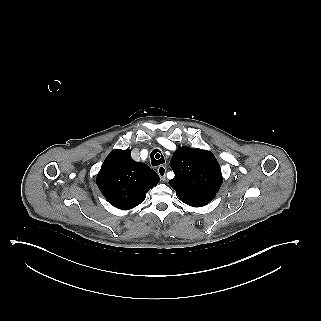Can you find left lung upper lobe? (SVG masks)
Wrapping results in <instances>:
<instances>
[{
	"instance_id": "5c2ea615",
	"label": "left lung upper lobe",
	"mask_w": 321,
	"mask_h": 321,
	"mask_svg": "<svg viewBox=\"0 0 321 321\" xmlns=\"http://www.w3.org/2000/svg\"><path fill=\"white\" fill-rule=\"evenodd\" d=\"M175 177L169 184L180 200L215 197L222 184L220 165L214 155L206 150L180 147L170 161Z\"/></svg>"
}]
</instances>
